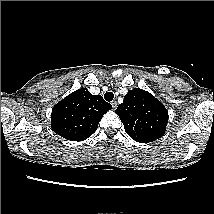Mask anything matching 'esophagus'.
Segmentation results:
<instances>
[{"mask_svg": "<svg viewBox=\"0 0 214 214\" xmlns=\"http://www.w3.org/2000/svg\"><path fill=\"white\" fill-rule=\"evenodd\" d=\"M111 105H112L113 109H116V107H117V102L114 100V101L111 102Z\"/></svg>", "mask_w": 214, "mask_h": 214, "instance_id": "34e87169", "label": "esophagus"}]
</instances>
